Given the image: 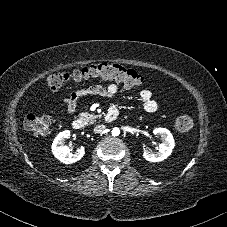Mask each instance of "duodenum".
Wrapping results in <instances>:
<instances>
[{"label": "duodenum", "instance_id": "duodenum-1", "mask_svg": "<svg viewBox=\"0 0 227 227\" xmlns=\"http://www.w3.org/2000/svg\"><path fill=\"white\" fill-rule=\"evenodd\" d=\"M117 115H118L117 111L115 109H111L105 114L104 121L112 122L117 118ZM72 125H73L74 129L81 130L84 128L85 122L83 119L79 118V119L74 120Z\"/></svg>", "mask_w": 227, "mask_h": 227}]
</instances>
